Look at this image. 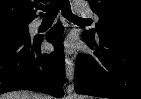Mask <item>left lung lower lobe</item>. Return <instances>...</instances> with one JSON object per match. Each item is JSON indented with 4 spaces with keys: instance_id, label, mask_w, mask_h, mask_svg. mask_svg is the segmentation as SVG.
<instances>
[{
    "instance_id": "left-lung-lower-lobe-1",
    "label": "left lung lower lobe",
    "mask_w": 141,
    "mask_h": 99,
    "mask_svg": "<svg viewBox=\"0 0 141 99\" xmlns=\"http://www.w3.org/2000/svg\"><path fill=\"white\" fill-rule=\"evenodd\" d=\"M93 55L79 54L75 71L78 94L141 99V34L101 32L98 40L83 32Z\"/></svg>"
}]
</instances>
